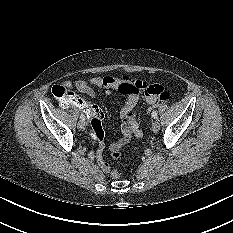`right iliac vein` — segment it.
Masks as SVG:
<instances>
[{"label": "right iliac vein", "mask_w": 233, "mask_h": 233, "mask_svg": "<svg viewBox=\"0 0 233 233\" xmlns=\"http://www.w3.org/2000/svg\"><path fill=\"white\" fill-rule=\"evenodd\" d=\"M85 126H86V123H85L84 120H80V121L78 122V128H79V129H84Z\"/></svg>", "instance_id": "1"}]
</instances>
